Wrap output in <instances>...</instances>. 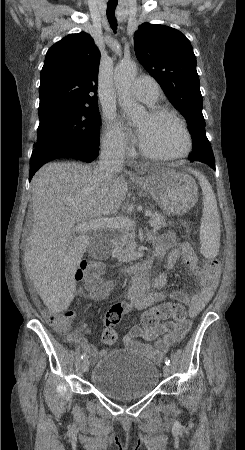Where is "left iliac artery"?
<instances>
[{
	"mask_svg": "<svg viewBox=\"0 0 245 450\" xmlns=\"http://www.w3.org/2000/svg\"><path fill=\"white\" fill-rule=\"evenodd\" d=\"M165 364L170 365V359L168 357L165 358Z\"/></svg>",
	"mask_w": 245,
	"mask_h": 450,
	"instance_id": "left-iliac-artery-1",
	"label": "left iliac artery"
}]
</instances>
